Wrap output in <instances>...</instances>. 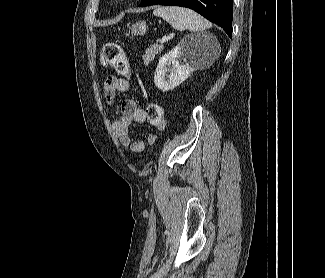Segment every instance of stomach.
<instances>
[{"label":"stomach","mask_w":325,"mask_h":278,"mask_svg":"<svg viewBox=\"0 0 325 278\" xmlns=\"http://www.w3.org/2000/svg\"><path fill=\"white\" fill-rule=\"evenodd\" d=\"M147 31V25L145 21H138L131 26V35H144Z\"/></svg>","instance_id":"stomach-1"}]
</instances>
